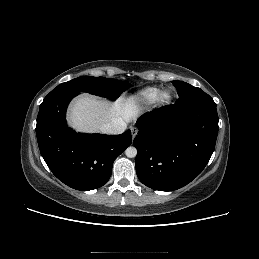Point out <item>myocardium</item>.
Segmentation results:
<instances>
[{"label":"myocardium","instance_id":"f54148a6","mask_svg":"<svg viewBox=\"0 0 259 259\" xmlns=\"http://www.w3.org/2000/svg\"><path fill=\"white\" fill-rule=\"evenodd\" d=\"M171 100H172V95L170 91L167 89L160 91L156 99L159 105H166L170 103Z\"/></svg>","mask_w":259,"mask_h":259}]
</instances>
